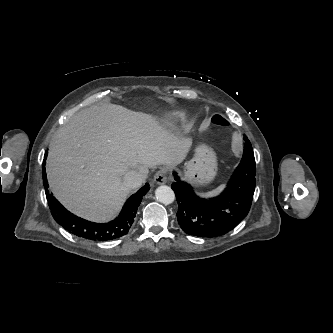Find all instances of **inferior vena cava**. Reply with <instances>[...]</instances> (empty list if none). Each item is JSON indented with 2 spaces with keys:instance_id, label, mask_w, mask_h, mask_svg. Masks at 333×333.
Segmentation results:
<instances>
[{
  "instance_id": "602c4592",
  "label": "inferior vena cava",
  "mask_w": 333,
  "mask_h": 333,
  "mask_svg": "<svg viewBox=\"0 0 333 333\" xmlns=\"http://www.w3.org/2000/svg\"><path fill=\"white\" fill-rule=\"evenodd\" d=\"M143 180V175L135 170H131L124 175V184L129 189L139 187Z\"/></svg>"
}]
</instances>
